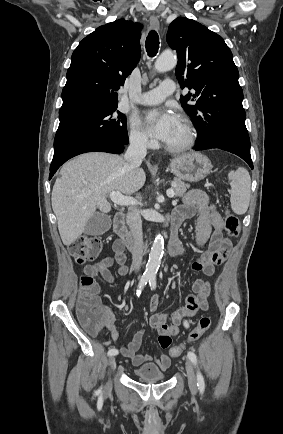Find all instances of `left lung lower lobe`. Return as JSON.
<instances>
[{
    "mask_svg": "<svg viewBox=\"0 0 283 434\" xmlns=\"http://www.w3.org/2000/svg\"><path fill=\"white\" fill-rule=\"evenodd\" d=\"M210 148H217V149H221V150H225L228 152H231L233 154H236L237 156H239L240 158H242L244 161L247 162V164L251 167V169H253V163L251 160V155H250V151L248 150H244L242 148L239 147H235V146H199L197 145L195 147V150H204V149H210Z\"/></svg>",
    "mask_w": 283,
    "mask_h": 434,
    "instance_id": "1",
    "label": "left lung lower lobe"
}]
</instances>
